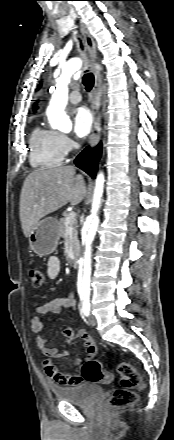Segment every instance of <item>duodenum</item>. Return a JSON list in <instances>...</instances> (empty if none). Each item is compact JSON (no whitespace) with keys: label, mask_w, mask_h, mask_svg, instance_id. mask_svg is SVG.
I'll return each instance as SVG.
<instances>
[{"label":"duodenum","mask_w":174,"mask_h":440,"mask_svg":"<svg viewBox=\"0 0 174 440\" xmlns=\"http://www.w3.org/2000/svg\"><path fill=\"white\" fill-rule=\"evenodd\" d=\"M79 253L77 251H75L71 257V265L73 268H77L79 265Z\"/></svg>","instance_id":"410a0bca"}]
</instances>
